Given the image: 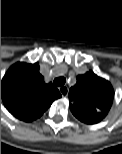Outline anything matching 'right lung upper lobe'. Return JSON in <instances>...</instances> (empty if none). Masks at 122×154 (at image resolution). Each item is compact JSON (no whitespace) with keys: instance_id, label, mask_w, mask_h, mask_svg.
<instances>
[{"instance_id":"right-lung-upper-lobe-1","label":"right lung upper lobe","mask_w":122,"mask_h":154,"mask_svg":"<svg viewBox=\"0 0 122 154\" xmlns=\"http://www.w3.org/2000/svg\"><path fill=\"white\" fill-rule=\"evenodd\" d=\"M1 96L12 115L22 121L31 122L42 116L61 94L52 83L44 82L38 63L18 62L4 75Z\"/></svg>"}]
</instances>
